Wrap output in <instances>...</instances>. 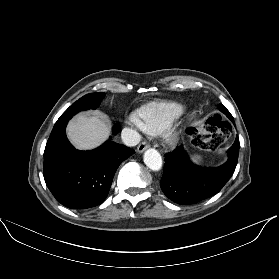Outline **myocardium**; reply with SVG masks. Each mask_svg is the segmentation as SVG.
<instances>
[{
    "label": "myocardium",
    "instance_id": "1",
    "mask_svg": "<svg viewBox=\"0 0 279 279\" xmlns=\"http://www.w3.org/2000/svg\"><path fill=\"white\" fill-rule=\"evenodd\" d=\"M180 132L178 130H174L167 135L168 142H175L179 137Z\"/></svg>",
    "mask_w": 279,
    "mask_h": 279
}]
</instances>
